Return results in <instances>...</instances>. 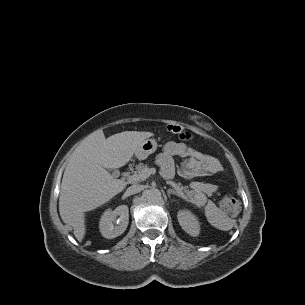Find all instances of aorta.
<instances>
[{"mask_svg":"<svg viewBox=\"0 0 305 305\" xmlns=\"http://www.w3.org/2000/svg\"><path fill=\"white\" fill-rule=\"evenodd\" d=\"M145 196L146 199L152 203L159 202L162 199L161 192L156 188L147 190Z\"/></svg>","mask_w":305,"mask_h":305,"instance_id":"1","label":"aorta"}]
</instances>
